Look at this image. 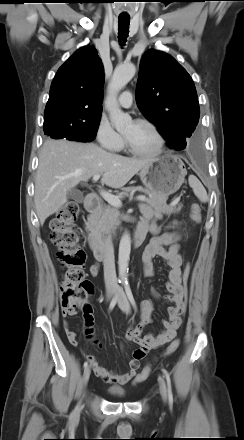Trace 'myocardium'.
Returning <instances> with one entry per match:
<instances>
[{"label":"myocardium","mask_w":244,"mask_h":440,"mask_svg":"<svg viewBox=\"0 0 244 440\" xmlns=\"http://www.w3.org/2000/svg\"><path fill=\"white\" fill-rule=\"evenodd\" d=\"M135 123L147 126L148 128H150L153 131V133L157 139V146L154 150L149 151V152L140 151V150L136 149L129 142V140L124 136V142H125V146H126L127 150L134 155L144 156V157L154 156V155L160 154L165 147V138H164V135L162 134L161 130L159 129V127L155 123H153L152 121L147 120V119H137V120H135Z\"/></svg>","instance_id":"obj_1"}]
</instances>
